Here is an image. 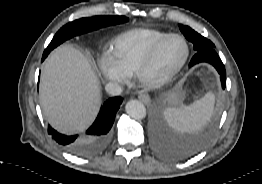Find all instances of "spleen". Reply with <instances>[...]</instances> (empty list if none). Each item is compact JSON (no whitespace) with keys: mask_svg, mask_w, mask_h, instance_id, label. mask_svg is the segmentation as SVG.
<instances>
[{"mask_svg":"<svg viewBox=\"0 0 262 184\" xmlns=\"http://www.w3.org/2000/svg\"><path fill=\"white\" fill-rule=\"evenodd\" d=\"M215 96L208 92L191 105L180 108H167L164 112L168 123L181 132H192L206 124L214 109Z\"/></svg>","mask_w":262,"mask_h":184,"instance_id":"spleen-1","label":"spleen"}]
</instances>
